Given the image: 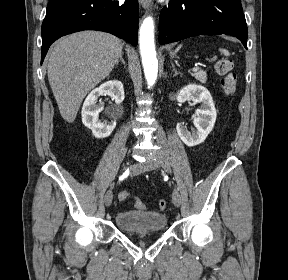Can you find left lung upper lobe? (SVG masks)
Segmentation results:
<instances>
[{"label":"left lung upper lobe","instance_id":"left-lung-upper-lobe-1","mask_svg":"<svg viewBox=\"0 0 288 280\" xmlns=\"http://www.w3.org/2000/svg\"><path fill=\"white\" fill-rule=\"evenodd\" d=\"M228 1H231L235 3L237 6H239L240 8H242L240 0H228Z\"/></svg>","mask_w":288,"mask_h":280}]
</instances>
